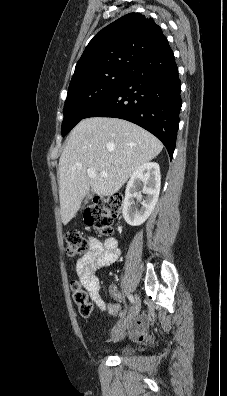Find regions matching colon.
Returning <instances> with one entry per match:
<instances>
[{"instance_id": "1", "label": "colon", "mask_w": 227, "mask_h": 396, "mask_svg": "<svg viewBox=\"0 0 227 396\" xmlns=\"http://www.w3.org/2000/svg\"><path fill=\"white\" fill-rule=\"evenodd\" d=\"M123 208V198L120 195L97 197L86 209L84 220L86 225L95 229L103 236L113 233V221L119 216ZM66 252L68 256L75 257L88 253V242L83 235L77 231H71L66 235ZM73 300L78 305L80 314L89 317L93 306L88 301L87 293L83 290L79 281L71 282ZM111 313L114 312L111 310Z\"/></svg>"}]
</instances>
